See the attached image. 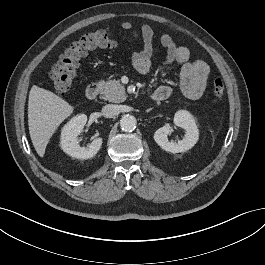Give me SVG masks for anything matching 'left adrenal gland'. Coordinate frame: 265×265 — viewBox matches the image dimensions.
Listing matches in <instances>:
<instances>
[{
    "mask_svg": "<svg viewBox=\"0 0 265 265\" xmlns=\"http://www.w3.org/2000/svg\"><path fill=\"white\" fill-rule=\"evenodd\" d=\"M151 110H152V108L148 109L146 112L148 113V112H150Z\"/></svg>",
    "mask_w": 265,
    "mask_h": 265,
    "instance_id": "a2214340",
    "label": "left adrenal gland"
}]
</instances>
